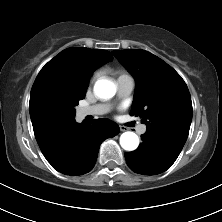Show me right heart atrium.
<instances>
[{
    "label": "right heart atrium",
    "instance_id": "obj_1",
    "mask_svg": "<svg viewBox=\"0 0 222 222\" xmlns=\"http://www.w3.org/2000/svg\"><path fill=\"white\" fill-rule=\"evenodd\" d=\"M96 77H97V73L93 76V80L96 79Z\"/></svg>",
    "mask_w": 222,
    "mask_h": 222
}]
</instances>
